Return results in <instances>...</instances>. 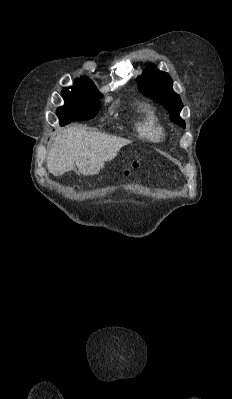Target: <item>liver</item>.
Segmentation results:
<instances>
[{"mask_svg": "<svg viewBox=\"0 0 232 399\" xmlns=\"http://www.w3.org/2000/svg\"><path fill=\"white\" fill-rule=\"evenodd\" d=\"M130 140L90 132L85 126L71 124L56 134L47 156V168L53 176H62L73 170L75 164L83 176H96L105 162L116 158L123 146Z\"/></svg>", "mask_w": 232, "mask_h": 399, "instance_id": "1", "label": "liver"}]
</instances>
